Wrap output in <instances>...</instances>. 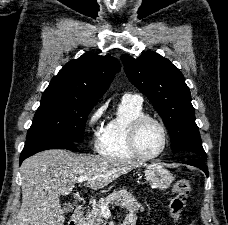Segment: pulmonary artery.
I'll return each instance as SVG.
<instances>
[{"label": "pulmonary artery", "mask_w": 228, "mask_h": 225, "mask_svg": "<svg viewBox=\"0 0 228 225\" xmlns=\"http://www.w3.org/2000/svg\"><path fill=\"white\" fill-rule=\"evenodd\" d=\"M122 101H128V102H132L138 105H142L143 104V97L140 94L137 93H125L122 96Z\"/></svg>", "instance_id": "e3ab8cb5"}]
</instances>
